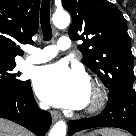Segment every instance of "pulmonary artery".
<instances>
[{
  "mask_svg": "<svg viewBox=\"0 0 136 136\" xmlns=\"http://www.w3.org/2000/svg\"><path fill=\"white\" fill-rule=\"evenodd\" d=\"M70 47V39L68 37L59 38L56 46H47L45 48H30L29 52L31 53L25 59L26 63L38 64L46 62L52 59L57 53L58 50H67Z\"/></svg>",
  "mask_w": 136,
  "mask_h": 136,
  "instance_id": "obj_1",
  "label": "pulmonary artery"
}]
</instances>
